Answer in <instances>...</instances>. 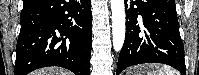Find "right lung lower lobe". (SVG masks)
Masks as SVG:
<instances>
[{
	"mask_svg": "<svg viewBox=\"0 0 199 75\" xmlns=\"http://www.w3.org/2000/svg\"><path fill=\"white\" fill-rule=\"evenodd\" d=\"M15 75L47 66L90 75V0H23Z\"/></svg>",
	"mask_w": 199,
	"mask_h": 75,
	"instance_id": "right-lung-lower-lobe-1",
	"label": "right lung lower lobe"
}]
</instances>
